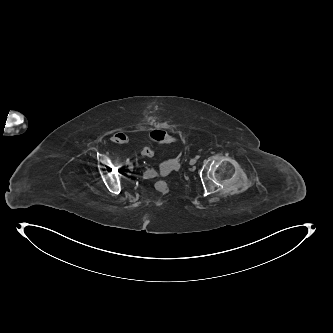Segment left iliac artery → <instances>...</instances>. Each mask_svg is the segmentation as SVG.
<instances>
[{
  "instance_id": "left-iliac-artery-1",
  "label": "left iliac artery",
  "mask_w": 333,
  "mask_h": 333,
  "mask_svg": "<svg viewBox=\"0 0 333 333\" xmlns=\"http://www.w3.org/2000/svg\"><path fill=\"white\" fill-rule=\"evenodd\" d=\"M199 157H200L199 155L196 156L197 159H198Z\"/></svg>"
}]
</instances>
